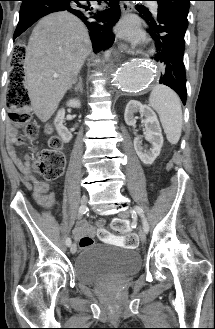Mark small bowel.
<instances>
[{"label": "small bowel", "mask_w": 215, "mask_h": 329, "mask_svg": "<svg viewBox=\"0 0 215 329\" xmlns=\"http://www.w3.org/2000/svg\"><path fill=\"white\" fill-rule=\"evenodd\" d=\"M22 142H23L22 139L17 138L15 129L11 128L9 139H8V150H9L10 156L13 158L14 162L16 163L17 167L22 172V174L28 180H30L32 182L33 189H34L33 197H34L36 203L45 209H52L56 204V196L54 193L48 192V185L45 182L39 181L34 178V175H33V172H32L31 166H30L31 156L26 155L24 157V161H22L18 157V155L14 149L15 144H20ZM103 223H104L103 220H98L97 221L98 225L91 226L86 222H81L74 231L75 235L77 237H79L81 240V238L83 236H85L86 233L90 234L93 231V232H95L96 236H100L99 240L101 242H110V243H114V244L121 243V240L119 238L109 235L110 234L109 227H108V225H102ZM80 246H81V244H80ZM81 247H83V246H81Z\"/></svg>", "instance_id": "small-bowel-1"}]
</instances>
